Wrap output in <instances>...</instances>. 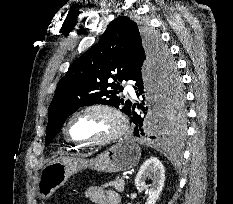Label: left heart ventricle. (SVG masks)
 Segmentation results:
<instances>
[{
  "mask_svg": "<svg viewBox=\"0 0 233 204\" xmlns=\"http://www.w3.org/2000/svg\"><path fill=\"white\" fill-rule=\"evenodd\" d=\"M115 128L114 120L102 112H90L76 117L69 127L71 136L77 140H98Z\"/></svg>",
  "mask_w": 233,
  "mask_h": 204,
  "instance_id": "left-heart-ventricle-1",
  "label": "left heart ventricle"
}]
</instances>
